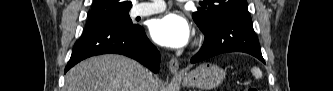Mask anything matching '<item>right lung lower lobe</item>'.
Returning a JSON list of instances; mask_svg holds the SVG:
<instances>
[{
    "label": "right lung lower lobe",
    "mask_w": 333,
    "mask_h": 91,
    "mask_svg": "<svg viewBox=\"0 0 333 91\" xmlns=\"http://www.w3.org/2000/svg\"><path fill=\"white\" fill-rule=\"evenodd\" d=\"M108 53L133 58L155 73L159 70V51L149 41L142 26L87 23L84 33L75 43L65 72L83 59Z\"/></svg>",
    "instance_id": "98d812e1"
}]
</instances>
